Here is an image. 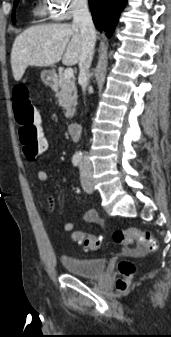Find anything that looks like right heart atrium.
<instances>
[{"label": "right heart atrium", "mask_w": 171, "mask_h": 337, "mask_svg": "<svg viewBox=\"0 0 171 337\" xmlns=\"http://www.w3.org/2000/svg\"><path fill=\"white\" fill-rule=\"evenodd\" d=\"M85 4L86 0H44L43 10L51 19L63 21L82 9Z\"/></svg>", "instance_id": "right-heart-atrium-1"}]
</instances>
